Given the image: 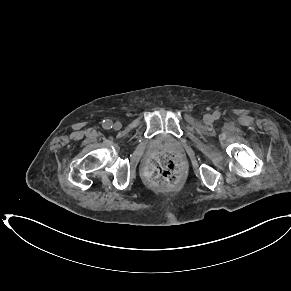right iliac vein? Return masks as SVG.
<instances>
[{
  "mask_svg": "<svg viewBox=\"0 0 291 291\" xmlns=\"http://www.w3.org/2000/svg\"><path fill=\"white\" fill-rule=\"evenodd\" d=\"M113 128L115 130H119L121 128V123L120 122H116L114 125H113Z\"/></svg>",
  "mask_w": 291,
  "mask_h": 291,
  "instance_id": "obj_1",
  "label": "right iliac vein"
}]
</instances>
